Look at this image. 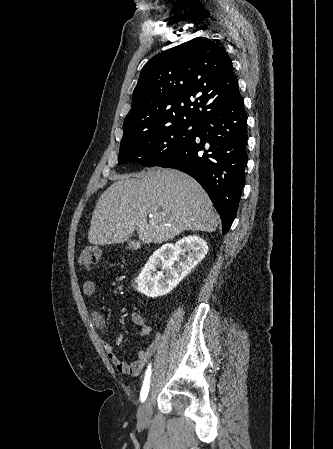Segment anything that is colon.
<instances>
[{
    "instance_id": "obj_1",
    "label": "colon",
    "mask_w": 333,
    "mask_h": 449,
    "mask_svg": "<svg viewBox=\"0 0 333 449\" xmlns=\"http://www.w3.org/2000/svg\"><path fill=\"white\" fill-rule=\"evenodd\" d=\"M101 257V249L98 246L90 245L83 249L79 257V262L85 267H90L98 262Z\"/></svg>"
}]
</instances>
